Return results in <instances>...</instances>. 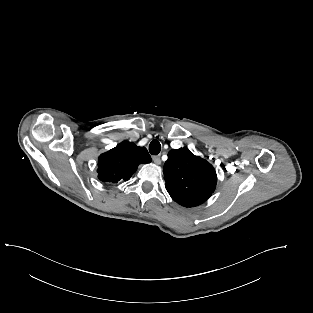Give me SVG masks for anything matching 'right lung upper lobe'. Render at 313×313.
I'll list each match as a JSON object with an SVG mask.
<instances>
[{
    "mask_svg": "<svg viewBox=\"0 0 313 313\" xmlns=\"http://www.w3.org/2000/svg\"><path fill=\"white\" fill-rule=\"evenodd\" d=\"M151 157L145 147L124 141L98 158V178L102 182L117 184L129 180L139 164L150 163Z\"/></svg>",
    "mask_w": 313,
    "mask_h": 313,
    "instance_id": "cb5924a9",
    "label": "right lung upper lobe"
}]
</instances>
